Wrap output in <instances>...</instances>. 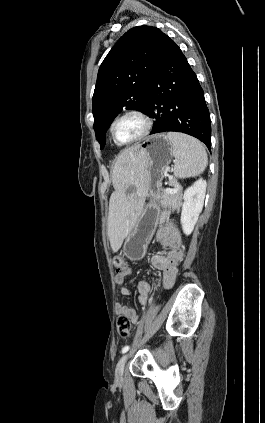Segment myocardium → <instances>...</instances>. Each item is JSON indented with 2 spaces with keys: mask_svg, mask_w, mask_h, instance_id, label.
<instances>
[{
  "mask_svg": "<svg viewBox=\"0 0 265 423\" xmlns=\"http://www.w3.org/2000/svg\"><path fill=\"white\" fill-rule=\"evenodd\" d=\"M127 117H137V118H139L143 122V129H142L141 133L136 138H134L130 141H127V142H121L116 138L115 125L120 120L127 118ZM152 128H153V121L149 117V115H147L142 110H139V109H136V108H130V109H126V110L122 111L112 120V122L110 124V134H111L113 141L117 145L127 146V145H131V144H134V143H137V142L143 140L146 136L149 135Z\"/></svg>",
  "mask_w": 265,
  "mask_h": 423,
  "instance_id": "myocardium-1",
  "label": "myocardium"
}]
</instances>
